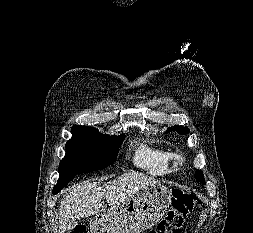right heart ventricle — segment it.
Segmentation results:
<instances>
[{
	"mask_svg": "<svg viewBox=\"0 0 253 233\" xmlns=\"http://www.w3.org/2000/svg\"><path fill=\"white\" fill-rule=\"evenodd\" d=\"M130 161L137 169L160 176L169 170L170 153L161 146L142 141L134 145Z\"/></svg>",
	"mask_w": 253,
	"mask_h": 233,
	"instance_id": "obj_1",
	"label": "right heart ventricle"
}]
</instances>
